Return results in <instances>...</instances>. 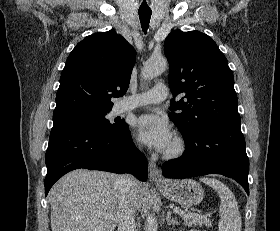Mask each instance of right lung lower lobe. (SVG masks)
<instances>
[{
    "instance_id": "98d812e1",
    "label": "right lung lower lobe",
    "mask_w": 280,
    "mask_h": 231,
    "mask_svg": "<svg viewBox=\"0 0 280 231\" xmlns=\"http://www.w3.org/2000/svg\"><path fill=\"white\" fill-rule=\"evenodd\" d=\"M45 161V196L60 177L79 168L130 172L141 181L148 175L147 159L136 149L127 124L117 132L79 126L52 128Z\"/></svg>"
}]
</instances>
